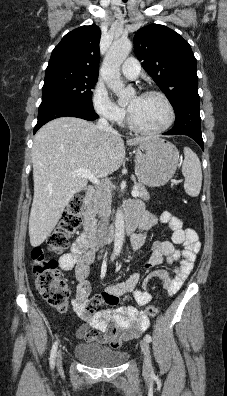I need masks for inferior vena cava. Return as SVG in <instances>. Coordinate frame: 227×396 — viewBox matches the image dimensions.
Instances as JSON below:
<instances>
[{
  "mask_svg": "<svg viewBox=\"0 0 227 396\" xmlns=\"http://www.w3.org/2000/svg\"><path fill=\"white\" fill-rule=\"evenodd\" d=\"M97 128L103 132H116L109 125L108 121L105 118H100L97 122ZM111 214V194L108 189H105L100 195V211L99 216L101 218L99 230H98V238L100 244H102V240L107 233L108 227V219Z\"/></svg>",
  "mask_w": 227,
  "mask_h": 396,
  "instance_id": "obj_1",
  "label": "inferior vena cava"
}]
</instances>
